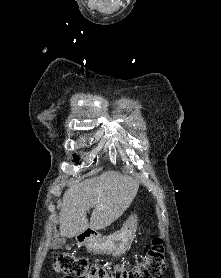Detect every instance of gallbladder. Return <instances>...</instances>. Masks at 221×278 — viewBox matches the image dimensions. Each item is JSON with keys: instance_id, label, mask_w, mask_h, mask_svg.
Instances as JSON below:
<instances>
[{"instance_id": "gallbladder-1", "label": "gallbladder", "mask_w": 221, "mask_h": 278, "mask_svg": "<svg viewBox=\"0 0 221 278\" xmlns=\"http://www.w3.org/2000/svg\"><path fill=\"white\" fill-rule=\"evenodd\" d=\"M65 239H61L59 240L56 244H55V248H60L62 247V245L65 243Z\"/></svg>"}]
</instances>
